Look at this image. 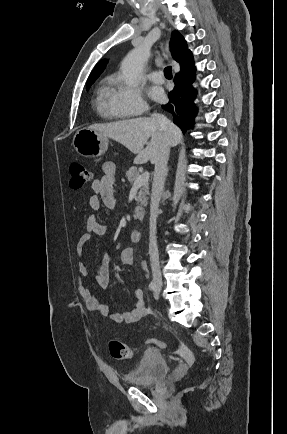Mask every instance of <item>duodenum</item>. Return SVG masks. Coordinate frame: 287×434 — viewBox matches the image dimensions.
<instances>
[{
  "mask_svg": "<svg viewBox=\"0 0 287 434\" xmlns=\"http://www.w3.org/2000/svg\"><path fill=\"white\" fill-rule=\"evenodd\" d=\"M142 237V232L139 229H134L131 232L130 238L132 242H139L141 240Z\"/></svg>",
  "mask_w": 287,
  "mask_h": 434,
  "instance_id": "1",
  "label": "duodenum"
}]
</instances>
